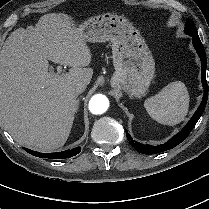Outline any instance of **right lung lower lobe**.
Here are the masks:
<instances>
[{
  "label": "right lung lower lobe",
  "mask_w": 209,
  "mask_h": 209,
  "mask_svg": "<svg viewBox=\"0 0 209 209\" xmlns=\"http://www.w3.org/2000/svg\"><path fill=\"white\" fill-rule=\"evenodd\" d=\"M24 150L33 156L42 157V158H50V159L71 158V157L77 155L81 151L80 147H76L71 150H66V151L56 152V153H40V152L32 151V150L26 149V148H24Z\"/></svg>",
  "instance_id": "right-lung-lower-lobe-1"
}]
</instances>
